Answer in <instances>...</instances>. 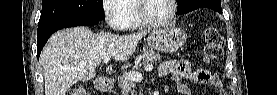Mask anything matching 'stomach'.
Masks as SVG:
<instances>
[{
	"label": "stomach",
	"instance_id": "obj_1",
	"mask_svg": "<svg viewBox=\"0 0 277 95\" xmlns=\"http://www.w3.org/2000/svg\"><path fill=\"white\" fill-rule=\"evenodd\" d=\"M147 40L152 49L164 53H173L184 45L186 33L181 28L168 27L152 31Z\"/></svg>",
	"mask_w": 277,
	"mask_h": 95
}]
</instances>
